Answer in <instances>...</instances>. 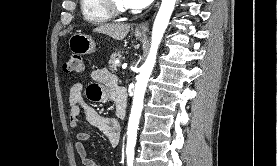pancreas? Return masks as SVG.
Here are the masks:
<instances>
[{
    "instance_id": "cf45deb5",
    "label": "pancreas",
    "mask_w": 277,
    "mask_h": 166,
    "mask_svg": "<svg viewBox=\"0 0 277 166\" xmlns=\"http://www.w3.org/2000/svg\"><path fill=\"white\" fill-rule=\"evenodd\" d=\"M122 54H123V51L118 50V51L112 53V55L110 56V60H109L108 64H109V69L111 71H113V72L117 71L119 64L115 63V60L120 59Z\"/></svg>"
}]
</instances>
